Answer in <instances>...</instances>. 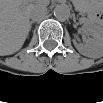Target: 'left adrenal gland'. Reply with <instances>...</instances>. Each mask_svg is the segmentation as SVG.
I'll return each mask as SVG.
<instances>
[{
  "instance_id": "obj_1",
  "label": "left adrenal gland",
  "mask_w": 103,
  "mask_h": 103,
  "mask_svg": "<svg viewBox=\"0 0 103 103\" xmlns=\"http://www.w3.org/2000/svg\"><path fill=\"white\" fill-rule=\"evenodd\" d=\"M74 22H76V18H74Z\"/></svg>"
}]
</instances>
